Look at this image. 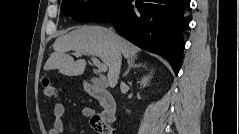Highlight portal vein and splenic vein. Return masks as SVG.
Wrapping results in <instances>:
<instances>
[{"label": "portal vein and splenic vein", "instance_id": "18ae733b", "mask_svg": "<svg viewBox=\"0 0 239 134\" xmlns=\"http://www.w3.org/2000/svg\"><path fill=\"white\" fill-rule=\"evenodd\" d=\"M77 55H82L83 53H76ZM91 60L93 61V64L98 68L100 72H105L107 71V65L101 63L96 57H91Z\"/></svg>", "mask_w": 239, "mask_h": 134}]
</instances>
